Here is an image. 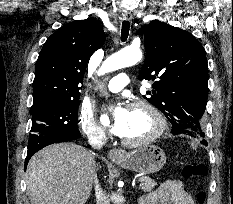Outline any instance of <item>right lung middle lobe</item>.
<instances>
[{
	"mask_svg": "<svg viewBox=\"0 0 233 204\" xmlns=\"http://www.w3.org/2000/svg\"><path fill=\"white\" fill-rule=\"evenodd\" d=\"M79 100L50 102L32 107V127L28 151H38L64 137H79Z\"/></svg>",
	"mask_w": 233,
	"mask_h": 204,
	"instance_id": "right-lung-middle-lobe-1",
	"label": "right lung middle lobe"
}]
</instances>
